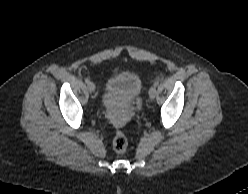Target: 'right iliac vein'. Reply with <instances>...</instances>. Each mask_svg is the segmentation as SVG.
<instances>
[{"label": "right iliac vein", "instance_id": "obj_1", "mask_svg": "<svg viewBox=\"0 0 248 194\" xmlns=\"http://www.w3.org/2000/svg\"><path fill=\"white\" fill-rule=\"evenodd\" d=\"M87 88H88V91L89 92H94L95 91V84L90 82L88 85H87Z\"/></svg>", "mask_w": 248, "mask_h": 194}]
</instances>
